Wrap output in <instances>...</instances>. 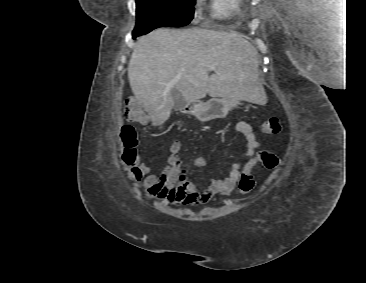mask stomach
Wrapping results in <instances>:
<instances>
[{"label":"stomach","instance_id":"1","mask_svg":"<svg viewBox=\"0 0 366 283\" xmlns=\"http://www.w3.org/2000/svg\"><path fill=\"white\" fill-rule=\"evenodd\" d=\"M240 99L230 97H213L205 103L200 101L185 102L181 110H190L201 122L223 118L228 111L240 104Z\"/></svg>","mask_w":366,"mask_h":283}]
</instances>
